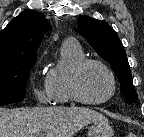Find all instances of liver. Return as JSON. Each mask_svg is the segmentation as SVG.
I'll return each instance as SVG.
<instances>
[{
    "mask_svg": "<svg viewBox=\"0 0 144 137\" xmlns=\"http://www.w3.org/2000/svg\"><path fill=\"white\" fill-rule=\"evenodd\" d=\"M101 120L107 118L84 107L0 108V137H73L84 126Z\"/></svg>",
    "mask_w": 144,
    "mask_h": 137,
    "instance_id": "obj_1",
    "label": "liver"
}]
</instances>
